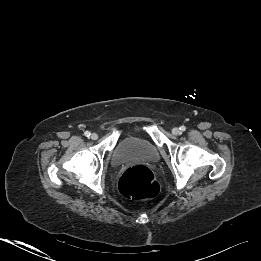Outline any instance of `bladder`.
Listing matches in <instances>:
<instances>
[{"label": "bladder", "instance_id": "obj_1", "mask_svg": "<svg viewBox=\"0 0 261 261\" xmlns=\"http://www.w3.org/2000/svg\"><path fill=\"white\" fill-rule=\"evenodd\" d=\"M159 152L156 146L147 139L137 137H126L116 145L112 163L119 166L132 161L147 163L156 162Z\"/></svg>", "mask_w": 261, "mask_h": 261}]
</instances>
